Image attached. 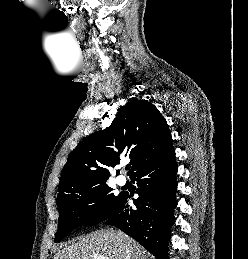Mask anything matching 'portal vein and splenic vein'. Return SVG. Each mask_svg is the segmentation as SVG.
Instances as JSON below:
<instances>
[{"label": "portal vein and splenic vein", "mask_w": 248, "mask_h": 259, "mask_svg": "<svg viewBox=\"0 0 248 259\" xmlns=\"http://www.w3.org/2000/svg\"><path fill=\"white\" fill-rule=\"evenodd\" d=\"M93 259H109L106 256H95Z\"/></svg>", "instance_id": "portal-vein-and-splenic-vein-1"}]
</instances>
